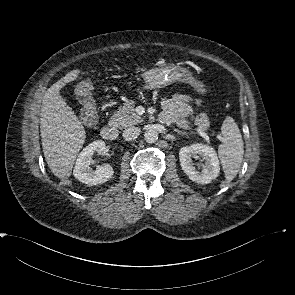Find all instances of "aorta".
<instances>
[{"instance_id":"762f6f07","label":"aorta","mask_w":295,"mask_h":295,"mask_svg":"<svg viewBox=\"0 0 295 295\" xmlns=\"http://www.w3.org/2000/svg\"><path fill=\"white\" fill-rule=\"evenodd\" d=\"M144 138L148 143H155L158 140V132L154 129L145 131Z\"/></svg>"}]
</instances>
